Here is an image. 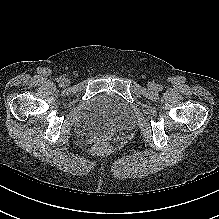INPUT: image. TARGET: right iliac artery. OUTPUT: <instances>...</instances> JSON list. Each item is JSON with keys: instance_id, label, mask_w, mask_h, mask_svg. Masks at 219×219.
Returning <instances> with one entry per match:
<instances>
[{"instance_id": "82829eb1", "label": "right iliac artery", "mask_w": 219, "mask_h": 219, "mask_svg": "<svg viewBox=\"0 0 219 219\" xmlns=\"http://www.w3.org/2000/svg\"><path fill=\"white\" fill-rule=\"evenodd\" d=\"M62 79H63V77H58L56 80H57V82H60V81H62Z\"/></svg>"}]
</instances>
